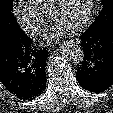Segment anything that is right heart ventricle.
<instances>
[{"instance_id": "e07e8e85", "label": "right heart ventricle", "mask_w": 113, "mask_h": 113, "mask_svg": "<svg viewBox=\"0 0 113 113\" xmlns=\"http://www.w3.org/2000/svg\"><path fill=\"white\" fill-rule=\"evenodd\" d=\"M53 0H25V2L42 14L48 15Z\"/></svg>"}]
</instances>
